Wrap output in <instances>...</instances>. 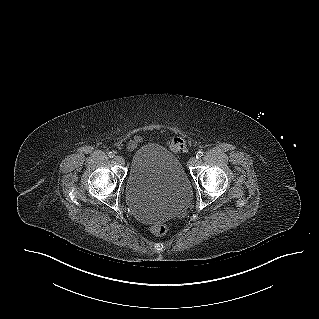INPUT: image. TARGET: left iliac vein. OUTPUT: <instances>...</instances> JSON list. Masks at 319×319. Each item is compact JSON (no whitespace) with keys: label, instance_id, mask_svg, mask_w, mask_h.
I'll return each mask as SVG.
<instances>
[{"label":"left iliac vein","instance_id":"left-iliac-vein-1","mask_svg":"<svg viewBox=\"0 0 319 319\" xmlns=\"http://www.w3.org/2000/svg\"><path fill=\"white\" fill-rule=\"evenodd\" d=\"M198 159L196 157H191L188 161L189 166H194L197 163Z\"/></svg>","mask_w":319,"mask_h":319}]
</instances>
